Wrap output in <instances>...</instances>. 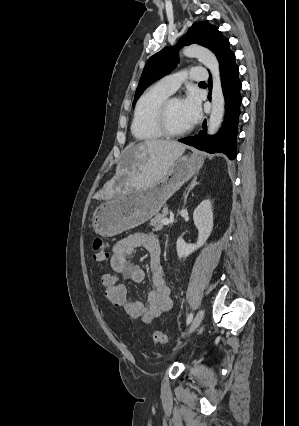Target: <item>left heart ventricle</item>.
<instances>
[{
  "label": "left heart ventricle",
  "mask_w": 299,
  "mask_h": 426,
  "mask_svg": "<svg viewBox=\"0 0 299 426\" xmlns=\"http://www.w3.org/2000/svg\"><path fill=\"white\" fill-rule=\"evenodd\" d=\"M168 123L173 130H181L190 125L186 119L181 100L172 102L168 113Z\"/></svg>",
  "instance_id": "obj_1"
}]
</instances>
